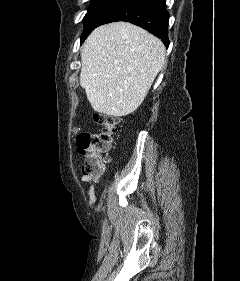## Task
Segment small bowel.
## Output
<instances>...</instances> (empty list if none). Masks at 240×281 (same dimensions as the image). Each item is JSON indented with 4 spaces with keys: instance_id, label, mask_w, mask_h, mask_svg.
Returning <instances> with one entry per match:
<instances>
[{
    "instance_id": "obj_1",
    "label": "small bowel",
    "mask_w": 240,
    "mask_h": 281,
    "mask_svg": "<svg viewBox=\"0 0 240 281\" xmlns=\"http://www.w3.org/2000/svg\"><path fill=\"white\" fill-rule=\"evenodd\" d=\"M81 180L83 182H88V183L89 182L97 183L100 180V174L99 175H88V174L82 173ZM93 201H94V199L91 198L90 202H93Z\"/></svg>"
}]
</instances>
